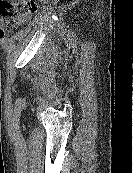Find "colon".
Instances as JSON below:
<instances>
[{
	"mask_svg": "<svg viewBox=\"0 0 133 173\" xmlns=\"http://www.w3.org/2000/svg\"><path fill=\"white\" fill-rule=\"evenodd\" d=\"M58 0H0V37L13 30L19 15L34 13Z\"/></svg>",
	"mask_w": 133,
	"mask_h": 173,
	"instance_id": "obj_1",
	"label": "colon"
}]
</instances>
